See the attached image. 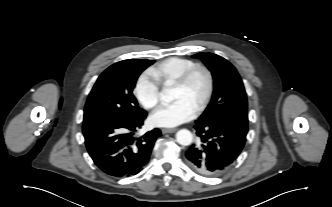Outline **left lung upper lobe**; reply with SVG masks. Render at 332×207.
<instances>
[{"instance_id":"left-lung-upper-lobe-1","label":"left lung upper lobe","mask_w":332,"mask_h":207,"mask_svg":"<svg viewBox=\"0 0 332 207\" xmlns=\"http://www.w3.org/2000/svg\"><path fill=\"white\" fill-rule=\"evenodd\" d=\"M193 57L204 62L214 79L211 101L198 121H212L232 114L247 115V96L235 67L212 53H198Z\"/></svg>"}]
</instances>
